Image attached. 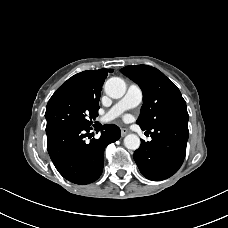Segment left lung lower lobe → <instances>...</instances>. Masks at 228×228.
I'll use <instances>...</instances> for the list:
<instances>
[{"mask_svg": "<svg viewBox=\"0 0 228 228\" xmlns=\"http://www.w3.org/2000/svg\"><path fill=\"white\" fill-rule=\"evenodd\" d=\"M147 132L152 140H141L139 149L134 152V160L146 178L154 181L167 179L178 171L184 161L189 136L188 121L161 124Z\"/></svg>", "mask_w": 228, "mask_h": 228, "instance_id": "0a47b994", "label": "left lung lower lobe"}]
</instances>
